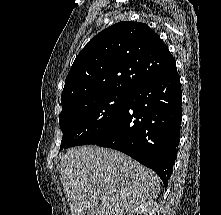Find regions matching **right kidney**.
Returning <instances> with one entry per match:
<instances>
[{
	"label": "right kidney",
	"mask_w": 221,
	"mask_h": 215,
	"mask_svg": "<svg viewBox=\"0 0 221 215\" xmlns=\"http://www.w3.org/2000/svg\"><path fill=\"white\" fill-rule=\"evenodd\" d=\"M157 209L158 204L154 200H149L133 209L128 215H156Z\"/></svg>",
	"instance_id": "right-kidney-1"
}]
</instances>
